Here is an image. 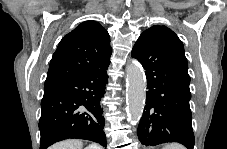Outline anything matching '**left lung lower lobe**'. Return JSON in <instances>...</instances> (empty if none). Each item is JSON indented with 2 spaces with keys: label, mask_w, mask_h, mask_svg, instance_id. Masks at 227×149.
Masks as SVG:
<instances>
[{
  "label": "left lung lower lobe",
  "mask_w": 227,
  "mask_h": 149,
  "mask_svg": "<svg viewBox=\"0 0 227 149\" xmlns=\"http://www.w3.org/2000/svg\"><path fill=\"white\" fill-rule=\"evenodd\" d=\"M131 55L147 77L146 106L137 132L140 142L145 146L178 142L193 149L187 59L155 26L140 35Z\"/></svg>",
  "instance_id": "left-lung-lower-lobe-1"
}]
</instances>
